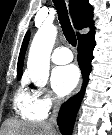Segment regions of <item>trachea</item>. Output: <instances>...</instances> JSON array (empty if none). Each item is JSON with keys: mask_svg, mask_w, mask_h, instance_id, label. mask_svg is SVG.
I'll list each match as a JSON object with an SVG mask.
<instances>
[{"mask_svg": "<svg viewBox=\"0 0 112 135\" xmlns=\"http://www.w3.org/2000/svg\"><path fill=\"white\" fill-rule=\"evenodd\" d=\"M54 5L58 13V18L61 24L62 31L65 35L66 40L71 44L72 46H76L77 39L75 32L72 28L68 12H67V7L66 3L64 0H54Z\"/></svg>", "mask_w": 112, "mask_h": 135, "instance_id": "3493384b", "label": "trachea"}]
</instances>
